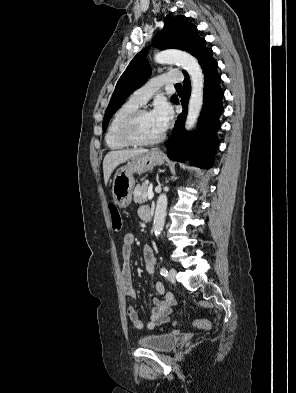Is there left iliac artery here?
Returning <instances> with one entry per match:
<instances>
[{
  "label": "left iliac artery",
  "mask_w": 296,
  "mask_h": 393,
  "mask_svg": "<svg viewBox=\"0 0 296 393\" xmlns=\"http://www.w3.org/2000/svg\"><path fill=\"white\" fill-rule=\"evenodd\" d=\"M160 274H161L162 276H164V277H167V276H168V271H167V269H166L165 267H162V268L160 269Z\"/></svg>",
  "instance_id": "left-iliac-artery-1"
}]
</instances>
